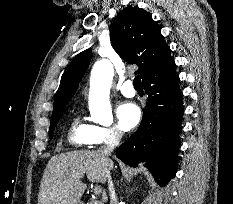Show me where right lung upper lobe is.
<instances>
[{
	"label": "right lung upper lobe",
	"mask_w": 233,
	"mask_h": 204,
	"mask_svg": "<svg viewBox=\"0 0 233 204\" xmlns=\"http://www.w3.org/2000/svg\"><path fill=\"white\" fill-rule=\"evenodd\" d=\"M110 39L112 47L123 60L139 66L137 73L141 74L143 81L174 64L159 25L149 12L138 6L126 7L120 12L111 27ZM91 57V50H85L77 54L66 68L55 96L52 118L65 110Z\"/></svg>",
	"instance_id": "cb5924a9"
}]
</instances>
